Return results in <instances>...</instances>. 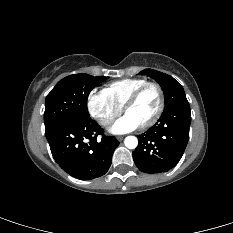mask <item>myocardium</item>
Returning <instances> with one entry per match:
<instances>
[{"instance_id": "obj_1", "label": "myocardium", "mask_w": 233, "mask_h": 233, "mask_svg": "<svg viewBox=\"0 0 233 233\" xmlns=\"http://www.w3.org/2000/svg\"><path fill=\"white\" fill-rule=\"evenodd\" d=\"M149 87H154L158 91L159 106H158L156 112L154 113V115L148 121L141 124V126L143 128H147V127L154 125L158 121V119L160 118V116L162 115V113L164 111L165 97H164V91H163L162 87L156 82H147V83L141 85L140 87H138L135 91H133L132 94L127 98V100L125 101V103L123 105V110L126 112L127 109L131 105H133L139 99L141 94Z\"/></svg>"}]
</instances>
